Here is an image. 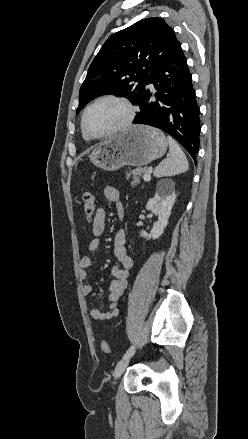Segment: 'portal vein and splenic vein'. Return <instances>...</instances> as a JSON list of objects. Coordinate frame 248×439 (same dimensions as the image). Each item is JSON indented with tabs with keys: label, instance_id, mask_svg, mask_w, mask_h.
<instances>
[{
	"label": "portal vein and splenic vein",
	"instance_id": "obj_1",
	"mask_svg": "<svg viewBox=\"0 0 248 439\" xmlns=\"http://www.w3.org/2000/svg\"><path fill=\"white\" fill-rule=\"evenodd\" d=\"M143 179H144L145 181H149V180L151 179L150 172L145 173Z\"/></svg>",
	"mask_w": 248,
	"mask_h": 439
}]
</instances>
